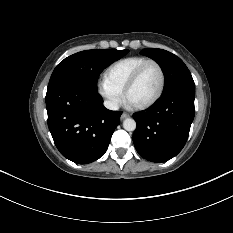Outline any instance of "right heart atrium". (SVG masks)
Returning a JSON list of instances; mask_svg holds the SVG:
<instances>
[{"label":"right heart atrium","mask_w":233,"mask_h":233,"mask_svg":"<svg viewBox=\"0 0 233 233\" xmlns=\"http://www.w3.org/2000/svg\"><path fill=\"white\" fill-rule=\"evenodd\" d=\"M97 89L109 109L115 110L123 102V91L115 87L106 78L98 81Z\"/></svg>","instance_id":"1"}]
</instances>
